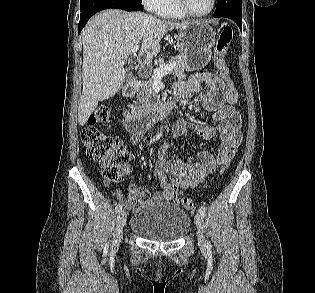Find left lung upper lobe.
I'll return each instance as SVG.
<instances>
[{
  "instance_id": "1",
  "label": "left lung upper lobe",
  "mask_w": 315,
  "mask_h": 293,
  "mask_svg": "<svg viewBox=\"0 0 315 293\" xmlns=\"http://www.w3.org/2000/svg\"><path fill=\"white\" fill-rule=\"evenodd\" d=\"M226 15L242 16L241 0H217V7L214 17H223Z\"/></svg>"
}]
</instances>
